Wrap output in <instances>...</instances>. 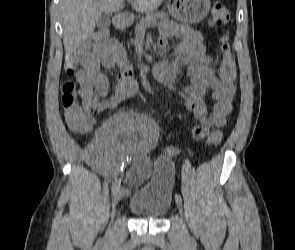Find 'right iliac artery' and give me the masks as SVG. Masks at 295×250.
Returning <instances> with one entry per match:
<instances>
[{
    "mask_svg": "<svg viewBox=\"0 0 295 250\" xmlns=\"http://www.w3.org/2000/svg\"><path fill=\"white\" fill-rule=\"evenodd\" d=\"M120 185H121V179H117L111 188L112 194H114L119 189Z\"/></svg>",
    "mask_w": 295,
    "mask_h": 250,
    "instance_id": "1",
    "label": "right iliac artery"
}]
</instances>
